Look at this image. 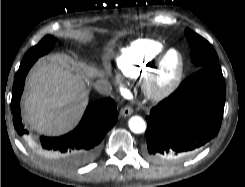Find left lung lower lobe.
Segmentation results:
<instances>
[{"label":"left lung lower lobe","mask_w":245,"mask_h":187,"mask_svg":"<svg viewBox=\"0 0 245 187\" xmlns=\"http://www.w3.org/2000/svg\"><path fill=\"white\" fill-rule=\"evenodd\" d=\"M225 81L218 63L185 79L146 117V155L157 162L179 160L214 138L225 105Z\"/></svg>","instance_id":"obj_1"}]
</instances>
